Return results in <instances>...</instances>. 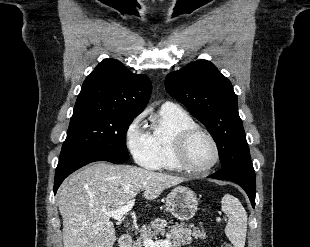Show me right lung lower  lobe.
<instances>
[{"mask_svg": "<svg viewBox=\"0 0 310 247\" xmlns=\"http://www.w3.org/2000/svg\"><path fill=\"white\" fill-rule=\"evenodd\" d=\"M95 161H108L114 164H122L126 160L100 154H75L61 158L55 172L54 194H56L60 184L68 175Z\"/></svg>", "mask_w": 310, "mask_h": 247, "instance_id": "1", "label": "right lung lower lobe"}]
</instances>
